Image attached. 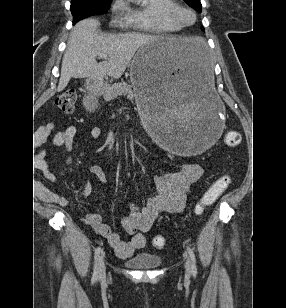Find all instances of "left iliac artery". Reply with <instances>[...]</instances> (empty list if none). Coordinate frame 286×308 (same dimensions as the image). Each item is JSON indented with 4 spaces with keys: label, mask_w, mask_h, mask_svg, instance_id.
<instances>
[{
    "label": "left iliac artery",
    "mask_w": 286,
    "mask_h": 308,
    "mask_svg": "<svg viewBox=\"0 0 286 308\" xmlns=\"http://www.w3.org/2000/svg\"><path fill=\"white\" fill-rule=\"evenodd\" d=\"M187 251H188L189 256H190V258H191V261H192V272H193V273H196V272H197V267H196V258H195V254H194L192 248L189 247V246L187 247Z\"/></svg>",
    "instance_id": "1"
}]
</instances>
